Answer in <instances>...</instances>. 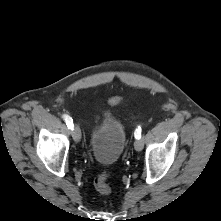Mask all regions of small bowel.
Segmentation results:
<instances>
[{
	"label": "small bowel",
	"instance_id": "obj_1",
	"mask_svg": "<svg viewBox=\"0 0 221 221\" xmlns=\"http://www.w3.org/2000/svg\"><path fill=\"white\" fill-rule=\"evenodd\" d=\"M119 103V100L117 99V98H113L112 100H111V104L112 105H116V104H118Z\"/></svg>",
	"mask_w": 221,
	"mask_h": 221
}]
</instances>
